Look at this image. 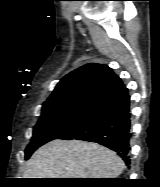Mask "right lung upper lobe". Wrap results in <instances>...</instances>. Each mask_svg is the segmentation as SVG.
Returning a JSON list of instances; mask_svg holds the SVG:
<instances>
[{
    "label": "right lung upper lobe",
    "mask_w": 160,
    "mask_h": 187,
    "mask_svg": "<svg viewBox=\"0 0 160 187\" xmlns=\"http://www.w3.org/2000/svg\"><path fill=\"white\" fill-rule=\"evenodd\" d=\"M124 85L113 71L102 64H86L63 77L43 108L72 102L98 103Z\"/></svg>",
    "instance_id": "1"
}]
</instances>
